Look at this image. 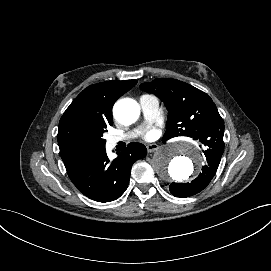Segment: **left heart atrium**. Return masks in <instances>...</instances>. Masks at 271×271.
I'll list each match as a JSON object with an SVG mask.
<instances>
[{"label": "left heart atrium", "mask_w": 271, "mask_h": 271, "mask_svg": "<svg viewBox=\"0 0 271 271\" xmlns=\"http://www.w3.org/2000/svg\"><path fill=\"white\" fill-rule=\"evenodd\" d=\"M154 137H155V134H154L153 131H149V132L145 135V139H146V140H152V139H154Z\"/></svg>", "instance_id": "39dd6f15"}]
</instances>
